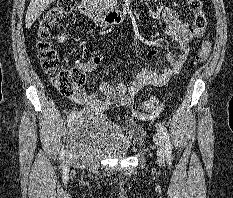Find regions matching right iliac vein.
<instances>
[{
  "mask_svg": "<svg viewBox=\"0 0 233 198\" xmlns=\"http://www.w3.org/2000/svg\"><path fill=\"white\" fill-rule=\"evenodd\" d=\"M70 130H71V126H70ZM73 158V150L71 145H69L68 149L66 150V161L70 162Z\"/></svg>",
  "mask_w": 233,
  "mask_h": 198,
  "instance_id": "right-iliac-vein-1",
  "label": "right iliac vein"
}]
</instances>
